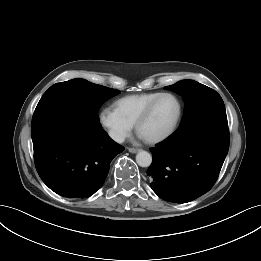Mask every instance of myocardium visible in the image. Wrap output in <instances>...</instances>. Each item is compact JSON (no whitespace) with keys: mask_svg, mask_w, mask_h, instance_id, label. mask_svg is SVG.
Wrapping results in <instances>:
<instances>
[{"mask_svg":"<svg viewBox=\"0 0 261 261\" xmlns=\"http://www.w3.org/2000/svg\"><path fill=\"white\" fill-rule=\"evenodd\" d=\"M163 97H171V98H173L175 100V102L177 104V113H176V116H175L172 124L169 126V128L166 131H164L160 135L155 136L153 138L145 139V141L150 143V144L160 143V142L166 140L167 138H169L175 132V130L177 129V126H178V124L180 122V119H181L182 104H181L180 100L178 99V97L176 95L172 94V93H169V92L160 93L158 96H156L145 107V109L141 112V114L136 119L135 124H134L135 131L137 133H139V129H140L141 125L149 118V116H150L152 110L154 109L155 105Z\"/></svg>","mask_w":261,"mask_h":261,"instance_id":"f54148a6","label":"myocardium"}]
</instances>
